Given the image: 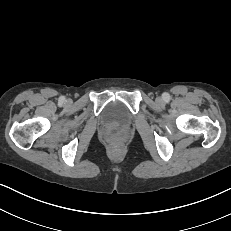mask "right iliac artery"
<instances>
[{
	"mask_svg": "<svg viewBox=\"0 0 231 231\" xmlns=\"http://www.w3.org/2000/svg\"><path fill=\"white\" fill-rule=\"evenodd\" d=\"M65 101V97L64 96H61L60 99H59V102L60 103H63Z\"/></svg>",
	"mask_w": 231,
	"mask_h": 231,
	"instance_id": "82829eb1",
	"label": "right iliac artery"
}]
</instances>
